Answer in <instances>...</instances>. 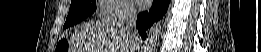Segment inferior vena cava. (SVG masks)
<instances>
[{"label": "inferior vena cava", "instance_id": "obj_1", "mask_svg": "<svg viewBox=\"0 0 261 52\" xmlns=\"http://www.w3.org/2000/svg\"><path fill=\"white\" fill-rule=\"evenodd\" d=\"M120 14L117 18V24L122 30L132 38L131 32L135 27L137 20V8L128 1H124L121 4ZM133 47H135V42L132 40Z\"/></svg>", "mask_w": 261, "mask_h": 52}]
</instances>
